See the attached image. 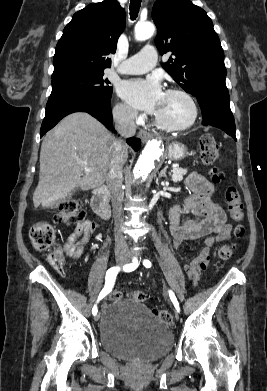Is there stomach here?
Wrapping results in <instances>:
<instances>
[{
  "label": "stomach",
  "mask_w": 267,
  "mask_h": 391,
  "mask_svg": "<svg viewBox=\"0 0 267 391\" xmlns=\"http://www.w3.org/2000/svg\"><path fill=\"white\" fill-rule=\"evenodd\" d=\"M187 148L181 144L174 142L168 146L167 156L171 160L179 161L188 156Z\"/></svg>",
  "instance_id": "stomach-1"
}]
</instances>
